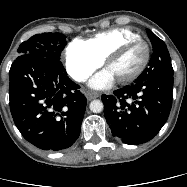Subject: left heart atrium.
<instances>
[{"label": "left heart atrium", "mask_w": 187, "mask_h": 187, "mask_svg": "<svg viewBox=\"0 0 187 187\" xmlns=\"http://www.w3.org/2000/svg\"><path fill=\"white\" fill-rule=\"evenodd\" d=\"M115 76L106 68L97 73L89 82L90 86L95 89H103L111 86L115 81Z\"/></svg>", "instance_id": "39dd6f15"}]
</instances>
